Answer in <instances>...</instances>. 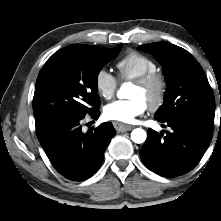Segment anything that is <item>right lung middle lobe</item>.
Wrapping results in <instances>:
<instances>
[{
  "instance_id": "1",
  "label": "right lung middle lobe",
  "mask_w": 221,
  "mask_h": 221,
  "mask_svg": "<svg viewBox=\"0 0 221 221\" xmlns=\"http://www.w3.org/2000/svg\"><path fill=\"white\" fill-rule=\"evenodd\" d=\"M121 47L70 45L47 60L38 75L33 98L38 138L62 120L86 116L99 108L97 76Z\"/></svg>"
}]
</instances>
